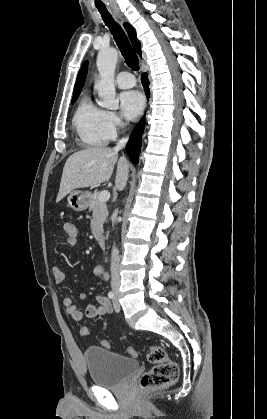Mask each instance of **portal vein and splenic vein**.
<instances>
[{
	"instance_id": "obj_1",
	"label": "portal vein and splenic vein",
	"mask_w": 267,
	"mask_h": 419,
	"mask_svg": "<svg viewBox=\"0 0 267 419\" xmlns=\"http://www.w3.org/2000/svg\"><path fill=\"white\" fill-rule=\"evenodd\" d=\"M109 198H110V193H109V191H107V190H103V191H101V192L99 193V195H98V199H99L101 202H106V201H108V200H109Z\"/></svg>"
}]
</instances>
